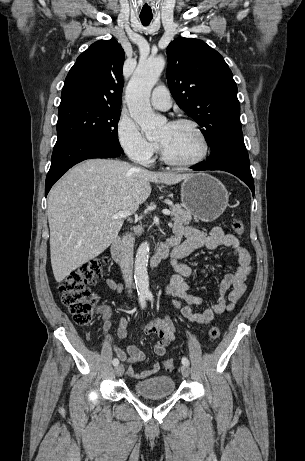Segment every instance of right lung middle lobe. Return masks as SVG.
<instances>
[{"instance_id": "obj_1", "label": "right lung middle lobe", "mask_w": 305, "mask_h": 461, "mask_svg": "<svg viewBox=\"0 0 305 461\" xmlns=\"http://www.w3.org/2000/svg\"><path fill=\"white\" fill-rule=\"evenodd\" d=\"M119 119L120 108L89 103L61 107L58 111L55 145L93 140L123 152L118 141Z\"/></svg>"}]
</instances>
